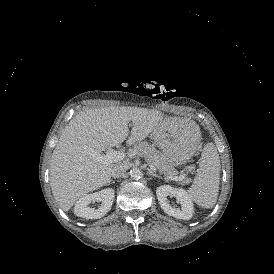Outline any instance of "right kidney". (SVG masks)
<instances>
[{"instance_id":"ca27d5eb","label":"right kidney","mask_w":274,"mask_h":274,"mask_svg":"<svg viewBox=\"0 0 274 274\" xmlns=\"http://www.w3.org/2000/svg\"><path fill=\"white\" fill-rule=\"evenodd\" d=\"M115 192L112 188H106L99 192L87 194L81 197L74 206V214L85 219H99L105 216L111 209ZM101 202L98 209L88 205L91 202Z\"/></svg>"}]
</instances>
